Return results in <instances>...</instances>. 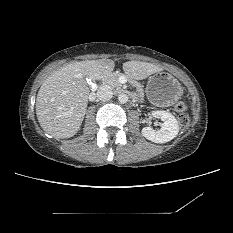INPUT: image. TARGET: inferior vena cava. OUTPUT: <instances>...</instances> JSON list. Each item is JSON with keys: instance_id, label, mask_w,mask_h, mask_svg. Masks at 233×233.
Instances as JSON below:
<instances>
[{"instance_id": "inferior-vena-cava-1", "label": "inferior vena cava", "mask_w": 233, "mask_h": 233, "mask_svg": "<svg viewBox=\"0 0 233 233\" xmlns=\"http://www.w3.org/2000/svg\"><path fill=\"white\" fill-rule=\"evenodd\" d=\"M97 97L102 101L110 100L113 97L112 89L107 85H102L97 90Z\"/></svg>"}]
</instances>
